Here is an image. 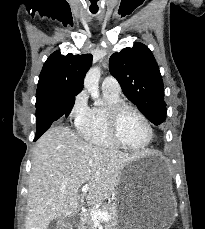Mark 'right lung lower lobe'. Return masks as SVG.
Returning a JSON list of instances; mask_svg holds the SVG:
<instances>
[{"label": "right lung lower lobe", "mask_w": 205, "mask_h": 229, "mask_svg": "<svg viewBox=\"0 0 205 229\" xmlns=\"http://www.w3.org/2000/svg\"><path fill=\"white\" fill-rule=\"evenodd\" d=\"M68 98L69 97L60 98L36 110L37 131L34 141L47 131L51 124L62 115L66 117L69 115L75 101L70 102Z\"/></svg>", "instance_id": "1"}]
</instances>
